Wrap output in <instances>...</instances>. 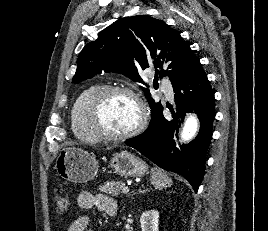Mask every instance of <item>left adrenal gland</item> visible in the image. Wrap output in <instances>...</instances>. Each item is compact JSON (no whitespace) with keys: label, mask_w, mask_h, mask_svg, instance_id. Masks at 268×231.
<instances>
[{"label":"left adrenal gland","mask_w":268,"mask_h":231,"mask_svg":"<svg viewBox=\"0 0 268 231\" xmlns=\"http://www.w3.org/2000/svg\"><path fill=\"white\" fill-rule=\"evenodd\" d=\"M140 192H145V190H139V193H140Z\"/></svg>","instance_id":"a2214340"}]
</instances>
